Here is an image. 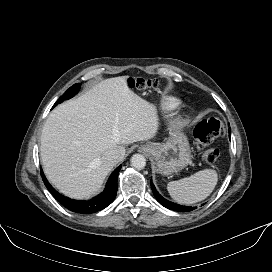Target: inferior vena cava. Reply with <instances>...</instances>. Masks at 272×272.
<instances>
[{
    "label": "inferior vena cava",
    "mask_w": 272,
    "mask_h": 272,
    "mask_svg": "<svg viewBox=\"0 0 272 272\" xmlns=\"http://www.w3.org/2000/svg\"><path fill=\"white\" fill-rule=\"evenodd\" d=\"M120 159L121 156L118 150L107 151L102 157L103 162L110 165H116Z\"/></svg>",
    "instance_id": "inferior-vena-cava-1"
}]
</instances>
